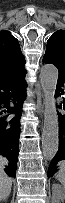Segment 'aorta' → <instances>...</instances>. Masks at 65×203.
<instances>
[{
    "label": "aorta",
    "instance_id": "762f6f07",
    "mask_svg": "<svg viewBox=\"0 0 65 203\" xmlns=\"http://www.w3.org/2000/svg\"><path fill=\"white\" fill-rule=\"evenodd\" d=\"M58 69L53 64H45L40 70L41 88L44 94V125L42 132V152L47 161H51L59 148V127L55 105V90Z\"/></svg>",
    "mask_w": 65,
    "mask_h": 203
}]
</instances>
